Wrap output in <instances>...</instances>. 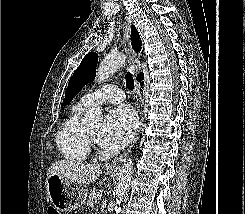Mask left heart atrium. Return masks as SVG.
I'll use <instances>...</instances> for the list:
<instances>
[{
    "instance_id": "obj_1",
    "label": "left heart atrium",
    "mask_w": 245,
    "mask_h": 214,
    "mask_svg": "<svg viewBox=\"0 0 245 214\" xmlns=\"http://www.w3.org/2000/svg\"><path fill=\"white\" fill-rule=\"evenodd\" d=\"M135 126V115L129 107L113 109L106 116L98 136L103 150L110 154L121 150L130 142Z\"/></svg>"
}]
</instances>
